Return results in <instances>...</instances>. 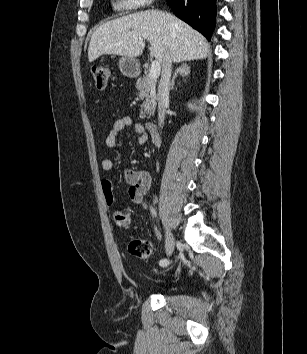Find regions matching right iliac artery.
Returning <instances> with one entry per match:
<instances>
[{
    "instance_id": "obj_1",
    "label": "right iliac artery",
    "mask_w": 307,
    "mask_h": 354,
    "mask_svg": "<svg viewBox=\"0 0 307 354\" xmlns=\"http://www.w3.org/2000/svg\"><path fill=\"white\" fill-rule=\"evenodd\" d=\"M150 210H151V213L156 216V212H155V210L152 207L150 208ZM168 264H169V261L167 259H161L159 261V265L162 266V267H165Z\"/></svg>"
}]
</instances>
